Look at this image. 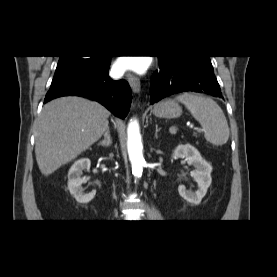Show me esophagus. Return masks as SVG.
<instances>
[{
	"instance_id": "1",
	"label": "esophagus",
	"mask_w": 277,
	"mask_h": 277,
	"mask_svg": "<svg viewBox=\"0 0 277 277\" xmlns=\"http://www.w3.org/2000/svg\"><path fill=\"white\" fill-rule=\"evenodd\" d=\"M126 79L134 93H140L141 85L140 80L137 76L133 75L132 73L128 72L126 74Z\"/></svg>"
}]
</instances>
